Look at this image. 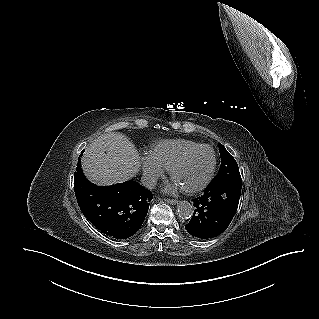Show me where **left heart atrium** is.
Segmentation results:
<instances>
[{"mask_svg":"<svg viewBox=\"0 0 319 319\" xmlns=\"http://www.w3.org/2000/svg\"><path fill=\"white\" fill-rule=\"evenodd\" d=\"M182 189L178 184L173 183L167 190L169 192H176L178 190Z\"/></svg>","mask_w":319,"mask_h":319,"instance_id":"left-heart-atrium-1","label":"left heart atrium"}]
</instances>
